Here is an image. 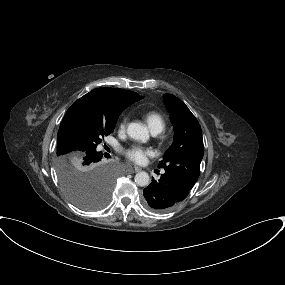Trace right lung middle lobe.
Returning a JSON list of instances; mask_svg holds the SVG:
<instances>
[{
	"instance_id": "dd1d6c3e",
	"label": "right lung middle lobe",
	"mask_w": 285,
	"mask_h": 285,
	"mask_svg": "<svg viewBox=\"0 0 285 285\" xmlns=\"http://www.w3.org/2000/svg\"><path fill=\"white\" fill-rule=\"evenodd\" d=\"M123 105L112 120L100 117H80L71 121L62 137H57L56 172L67 197L79 208L98 210L109 202L114 185V173L102 162L101 170L84 164V155L96 151L104 136L111 134Z\"/></svg>"
}]
</instances>
